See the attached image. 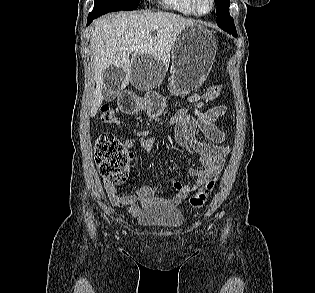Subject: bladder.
<instances>
[{
  "label": "bladder",
  "instance_id": "obj_1",
  "mask_svg": "<svg viewBox=\"0 0 315 293\" xmlns=\"http://www.w3.org/2000/svg\"><path fill=\"white\" fill-rule=\"evenodd\" d=\"M137 222L142 227L175 229L183 224L184 215L175 207L158 204L142 211Z\"/></svg>",
  "mask_w": 315,
  "mask_h": 293
}]
</instances>
